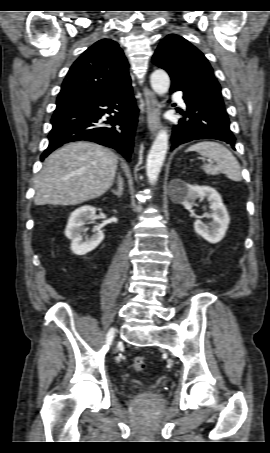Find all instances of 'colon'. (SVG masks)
I'll return each instance as SVG.
<instances>
[{
    "label": "colon",
    "instance_id": "colon-1",
    "mask_svg": "<svg viewBox=\"0 0 270 453\" xmlns=\"http://www.w3.org/2000/svg\"><path fill=\"white\" fill-rule=\"evenodd\" d=\"M147 366V360L143 356H137L133 360V367L136 371H143Z\"/></svg>",
    "mask_w": 270,
    "mask_h": 453
}]
</instances>
